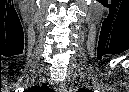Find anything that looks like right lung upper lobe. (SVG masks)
I'll return each mask as SVG.
<instances>
[{"label": "right lung upper lobe", "instance_id": "right-lung-upper-lobe-1", "mask_svg": "<svg viewBox=\"0 0 129 92\" xmlns=\"http://www.w3.org/2000/svg\"><path fill=\"white\" fill-rule=\"evenodd\" d=\"M42 89H47V86L45 84H43L42 87H32L29 90H25V92H39Z\"/></svg>", "mask_w": 129, "mask_h": 92}]
</instances>
